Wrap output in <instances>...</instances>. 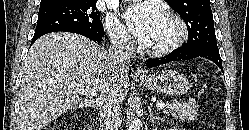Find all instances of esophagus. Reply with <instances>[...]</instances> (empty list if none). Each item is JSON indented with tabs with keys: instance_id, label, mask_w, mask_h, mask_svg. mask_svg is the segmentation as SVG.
Instances as JSON below:
<instances>
[{
	"instance_id": "esophagus-1",
	"label": "esophagus",
	"mask_w": 249,
	"mask_h": 130,
	"mask_svg": "<svg viewBox=\"0 0 249 130\" xmlns=\"http://www.w3.org/2000/svg\"><path fill=\"white\" fill-rule=\"evenodd\" d=\"M134 74L141 77L145 76V72L140 68H136Z\"/></svg>"
}]
</instances>
